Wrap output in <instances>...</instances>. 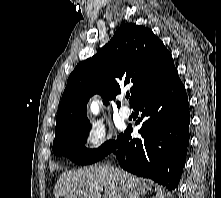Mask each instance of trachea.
Instances as JSON below:
<instances>
[{
	"label": "trachea",
	"mask_w": 221,
	"mask_h": 198,
	"mask_svg": "<svg viewBox=\"0 0 221 198\" xmlns=\"http://www.w3.org/2000/svg\"><path fill=\"white\" fill-rule=\"evenodd\" d=\"M130 97V94H126V98H129Z\"/></svg>",
	"instance_id": "trachea-1"
}]
</instances>
